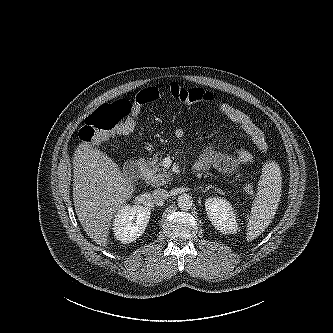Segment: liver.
Segmentation results:
<instances>
[{"label": "liver", "mask_w": 333, "mask_h": 333, "mask_svg": "<svg viewBox=\"0 0 333 333\" xmlns=\"http://www.w3.org/2000/svg\"><path fill=\"white\" fill-rule=\"evenodd\" d=\"M73 173V201L78 220L87 235L105 247L111 220L135 190L132 180L89 142L75 150Z\"/></svg>", "instance_id": "liver-1"}]
</instances>
